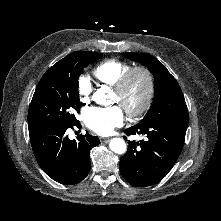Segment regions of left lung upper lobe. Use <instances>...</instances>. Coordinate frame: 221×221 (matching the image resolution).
I'll return each mask as SVG.
<instances>
[{
  "label": "left lung upper lobe",
  "instance_id": "obj_1",
  "mask_svg": "<svg viewBox=\"0 0 221 221\" xmlns=\"http://www.w3.org/2000/svg\"><path fill=\"white\" fill-rule=\"evenodd\" d=\"M126 58L146 65L155 78L154 99L145 117L137 125L159 123L168 119L175 108L185 102L176 79L167 68L150 54L123 53Z\"/></svg>",
  "mask_w": 221,
  "mask_h": 221
}]
</instances>
